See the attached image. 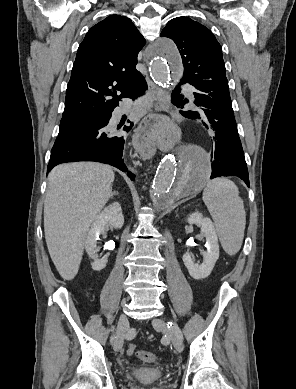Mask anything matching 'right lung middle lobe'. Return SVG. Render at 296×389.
Masks as SVG:
<instances>
[{"label":"right lung middle lobe","instance_id":"1","mask_svg":"<svg viewBox=\"0 0 296 389\" xmlns=\"http://www.w3.org/2000/svg\"><path fill=\"white\" fill-rule=\"evenodd\" d=\"M98 117L100 116H77L62 118L59 126L58 136L91 127L97 123Z\"/></svg>","mask_w":296,"mask_h":389}]
</instances>
